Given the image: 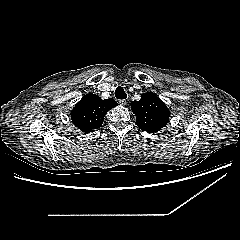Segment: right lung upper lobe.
I'll return each instance as SVG.
<instances>
[{
	"label": "right lung upper lobe",
	"instance_id": "obj_1",
	"mask_svg": "<svg viewBox=\"0 0 240 240\" xmlns=\"http://www.w3.org/2000/svg\"><path fill=\"white\" fill-rule=\"evenodd\" d=\"M117 105L112 98L103 100L96 94H87L71 111L72 122L82 132H92L101 127L106 113Z\"/></svg>",
	"mask_w": 240,
	"mask_h": 240
}]
</instances>
